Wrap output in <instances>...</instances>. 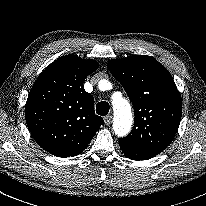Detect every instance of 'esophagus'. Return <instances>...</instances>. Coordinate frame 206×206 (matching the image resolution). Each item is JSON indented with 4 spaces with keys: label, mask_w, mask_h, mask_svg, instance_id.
Listing matches in <instances>:
<instances>
[{
    "label": "esophagus",
    "mask_w": 206,
    "mask_h": 206,
    "mask_svg": "<svg viewBox=\"0 0 206 206\" xmlns=\"http://www.w3.org/2000/svg\"><path fill=\"white\" fill-rule=\"evenodd\" d=\"M111 122H112V116H111V115H108V116H105V117H104V123H105L106 125H110Z\"/></svg>",
    "instance_id": "1"
}]
</instances>
